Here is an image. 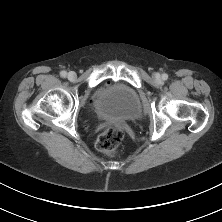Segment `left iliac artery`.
<instances>
[{
  "label": "left iliac artery",
  "instance_id": "1",
  "mask_svg": "<svg viewBox=\"0 0 222 222\" xmlns=\"http://www.w3.org/2000/svg\"><path fill=\"white\" fill-rule=\"evenodd\" d=\"M162 78H163V80H167L168 79V75L167 74H163Z\"/></svg>",
  "mask_w": 222,
  "mask_h": 222
}]
</instances>
